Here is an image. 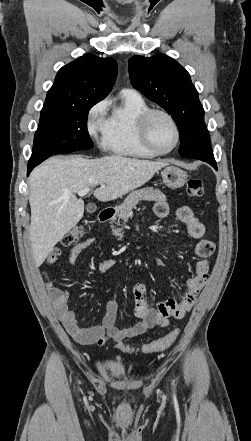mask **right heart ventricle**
<instances>
[{
  "label": "right heart ventricle",
  "instance_id": "right-heart-ventricle-1",
  "mask_svg": "<svg viewBox=\"0 0 251 441\" xmlns=\"http://www.w3.org/2000/svg\"><path fill=\"white\" fill-rule=\"evenodd\" d=\"M151 109L136 91L125 89L119 102L107 119L103 146L113 154L135 158H153L156 155L142 143L138 130L141 115Z\"/></svg>",
  "mask_w": 251,
  "mask_h": 441
}]
</instances>
